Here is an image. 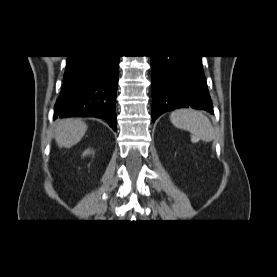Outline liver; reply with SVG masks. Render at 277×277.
<instances>
[{
	"mask_svg": "<svg viewBox=\"0 0 277 277\" xmlns=\"http://www.w3.org/2000/svg\"><path fill=\"white\" fill-rule=\"evenodd\" d=\"M87 131L85 122L79 119H62L56 123V143L59 147L70 148L77 144Z\"/></svg>",
	"mask_w": 277,
	"mask_h": 277,
	"instance_id": "liver-1",
	"label": "liver"
}]
</instances>
